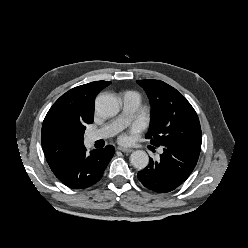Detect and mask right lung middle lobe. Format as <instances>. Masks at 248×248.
<instances>
[{"mask_svg": "<svg viewBox=\"0 0 248 248\" xmlns=\"http://www.w3.org/2000/svg\"><path fill=\"white\" fill-rule=\"evenodd\" d=\"M84 130H85V129L82 130V137H83V135H84Z\"/></svg>", "mask_w": 248, "mask_h": 248, "instance_id": "right-lung-middle-lobe-1", "label": "right lung middle lobe"}]
</instances>
